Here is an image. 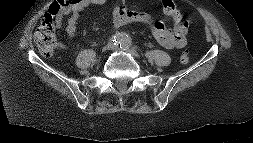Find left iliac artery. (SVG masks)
<instances>
[{"label": "left iliac artery", "instance_id": "obj_1", "mask_svg": "<svg viewBox=\"0 0 253 143\" xmlns=\"http://www.w3.org/2000/svg\"><path fill=\"white\" fill-rule=\"evenodd\" d=\"M131 38L126 35V37H123L122 43L120 44V47H130L131 46Z\"/></svg>", "mask_w": 253, "mask_h": 143}]
</instances>
